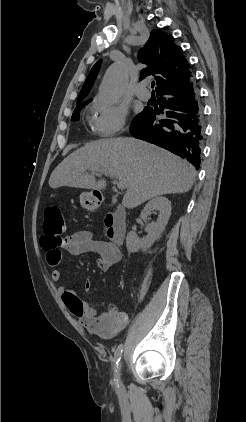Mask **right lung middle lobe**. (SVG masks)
Here are the masks:
<instances>
[{
  "mask_svg": "<svg viewBox=\"0 0 246 422\" xmlns=\"http://www.w3.org/2000/svg\"><path fill=\"white\" fill-rule=\"evenodd\" d=\"M89 103V102H88ZM88 103H85V104H82V105H79V106H77L76 108H75V110H74V112H73V115H72V118H71V120H73V121H78L79 120V114H80V110L86 105V104H88ZM141 114V113H140ZM140 114H138L134 119H136L137 117H139L140 116Z\"/></svg>",
  "mask_w": 246,
  "mask_h": 422,
  "instance_id": "right-lung-middle-lobe-1",
  "label": "right lung middle lobe"
}]
</instances>
